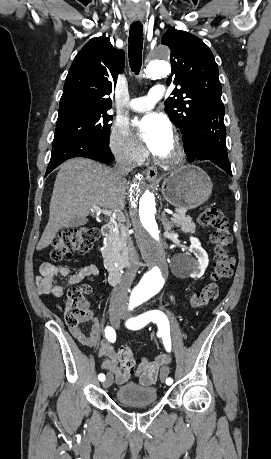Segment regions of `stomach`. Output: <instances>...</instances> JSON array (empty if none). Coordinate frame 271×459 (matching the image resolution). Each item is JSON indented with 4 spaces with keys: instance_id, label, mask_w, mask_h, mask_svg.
<instances>
[{
    "instance_id": "stomach-1",
    "label": "stomach",
    "mask_w": 271,
    "mask_h": 459,
    "mask_svg": "<svg viewBox=\"0 0 271 459\" xmlns=\"http://www.w3.org/2000/svg\"><path fill=\"white\" fill-rule=\"evenodd\" d=\"M212 186L204 170L198 166H182L164 180L161 192L168 204L181 210H192L207 202L212 194Z\"/></svg>"
}]
</instances>
